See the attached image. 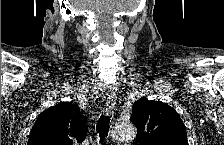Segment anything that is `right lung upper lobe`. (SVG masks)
<instances>
[{
	"mask_svg": "<svg viewBox=\"0 0 224 145\" xmlns=\"http://www.w3.org/2000/svg\"><path fill=\"white\" fill-rule=\"evenodd\" d=\"M87 132L86 118L79 106L60 102L40 113L28 145H76L85 140Z\"/></svg>",
	"mask_w": 224,
	"mask_h": 145,
	"instance_id": "1",
	"label": "right lung upper lobe"
}]
</instances>
